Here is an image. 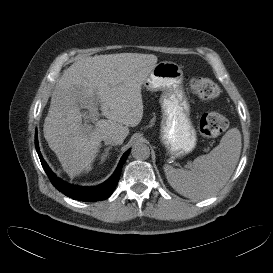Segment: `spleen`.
Listing matches in <instances>:
<instances>
[{
  "instance_id": "obj_1",
  "label": "spleen",
  "mask_w": 273,
  "mask_h": 273,
  "mask_svg": "<svg viewBox=\"0 0 273 273\" xmlns=\"http://www.w3.org/2000/svg\"><path fill=\"white\" fill-rule=\"evenodd\" d=\"M241 133L229 129L218 146L193 161L190 171L164 166L166 178L173 189L184 197L201 200L218 192L230 179L241 153Z\"/></svg>"
}]
</instances>
